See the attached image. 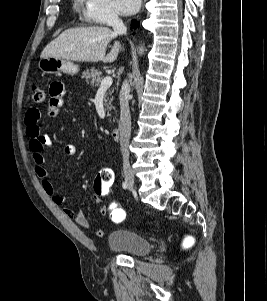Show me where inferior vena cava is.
Listing matches in <instances>:
<instances>
[{
	"label": "inferior vena cava",
	"mask_w": 267,
	"mask_h": 301,
	"mask_svg": "<svg viewBox=\"0 0 267 301\" xmlns=\"http://www.w3.org/2000/svg\"><path fill=\"white\" fill-rule=\"evenodd\" d=\"M111 25L114 29V32L117 34H126L127 28L122 22L121 19L115 14L111 19ZM129 92H130V85L125 80L121 87L120 91V146H121V153L123 157V162H129V140L131 135V116L129 110Z\"/></svg>",
	"instance_id": "obj_1"
}]
</instances>
